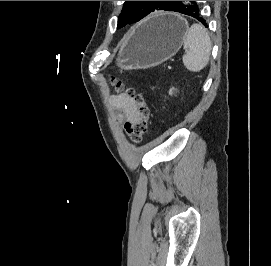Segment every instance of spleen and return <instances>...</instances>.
<instances>
[{"label":"spleen","instance_id":"spleen-1","mask_svg":"<svg viewBox=\"0 0 271 266\" xmlns=\"http://www.w3.org/2000/svg\"><path fill=\"white\" fill-rule=\"evenodd\" d=\"M184 66L191 72H199L209 62L212 42L207 30L201 24H193L183 38Z\"/></svg>","mask_w":271,"mask_h":266}]
</instances>
